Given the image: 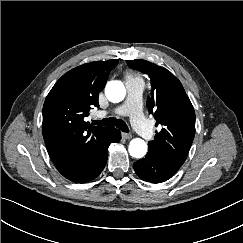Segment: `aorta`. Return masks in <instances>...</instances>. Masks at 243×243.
<instances>
[{"label": "aorta", "mask_w": 243, "mask_h": 243, "mask_svg": "<svg viewBox=\"0 0 243 243\" xmlns=\"http://www.w3.org/2000/svg\"><path fill=\"white\" fill-rule=\"evenodd\" d=\"M105 94L110 102L117 103L124 99L126 89L122 82L111 81L106 85ZM128 150L132 157L142 158L147 152V144L141 138H134L130 141Z\"/></svg>", "instance_id": "obj_1"}]
</instances>
